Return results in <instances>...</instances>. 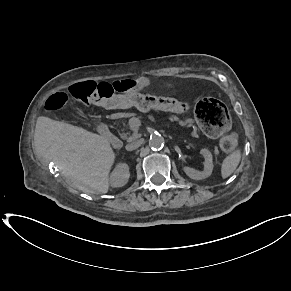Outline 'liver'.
<instances>
[{
    "label": "liver",
    "mask_w": 291,
    "mask_h": 291,
    "mask_svg": "<svg viewBox=\"0 0 291 291\" xmlns=\"http://www.w3.org/2000/svg\"><path fill=\"white\" fill-rule=\"evenodd\" d=\"M33 145L36 155L53 161L76 189L91 194L108 192L116 155L106 137L41 116Z\"/></svg>",
    "instance_id": "1"
}]
</instances>
